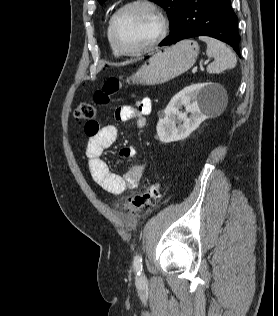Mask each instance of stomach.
I'll return each mask as SVG.
<instances>
[{
  "instance_id": "obj_1",
  "label": "stomach",
  "mask_w": 278,
  "mask_h": 316,
  "mask_svg": "<svg viewBox=\"0 0 278 316\" xmlns=\"http://www.w3.org/2000/svg\"><path fill=\"white\" fill-rule=\"evenodd\" d=\"M198 54L199 46L195 41H181L149 57L128 81L143 85L165 83L190 69Z\"/></svg>"
}]
</instances>
